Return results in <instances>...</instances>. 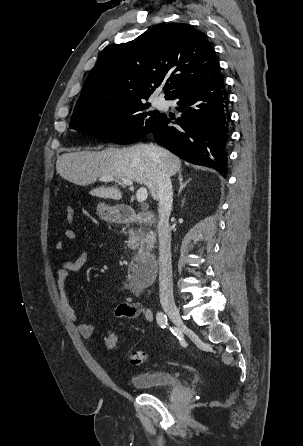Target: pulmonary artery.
<instances>
[{"label":"pulmonary artery","mask_w":303,"mask_h":446,"mask_svg":"<svg viewBox=\"0 0 303 446\" xmlns=\"http://www.w3.org/2000/svg\"><path fill=\"white\" fill-rule=\"evenodd\" d=\"M157 105H158V106H161V105H162V103H161V102H157Z\"/></svg>","instance_id":"pulmonary-artery-1"}]
</instances>
